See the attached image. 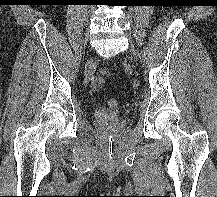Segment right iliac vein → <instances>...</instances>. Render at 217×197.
Returning a JSON list of instances; mask_svg holds the SVG:
<instances>
[{"mask_svg":"<svg viewBox=\"0 0 217 197\" xmlns=\"http://www.w3.org/2000/svg\"><path fill=\"white\" fill-rule=\"evenodd\" d=\"M92 67H93V59L92 58H89L87 60V63H86V66H85V72L88 74L90 73V71L92 70Z\"/></svg>","mask_w":217,"mask_h":197,"instance_id":"1","label":"right iliac vein"}]
</instances>
